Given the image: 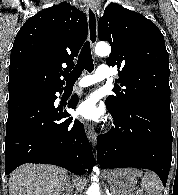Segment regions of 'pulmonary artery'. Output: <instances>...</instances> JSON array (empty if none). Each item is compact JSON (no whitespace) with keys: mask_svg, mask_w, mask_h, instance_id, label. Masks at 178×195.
<instances>
[{"mask_svg":"<svg viewBox=\"0 0 178 195\" xmlns=\"http://www.w3.org/2000/svg\"><path fill=\"white\" fill-rule=\"evenodd\" d=\"M110 68L106 65H101L97 68L95 74L83 77L76 85L75 88L82 89L87 88L97 81L109 80Z\"/></svg>","mask_w":178,"mask_h":195,"instance_id":"e3ab8cb5","label":"pulmonary artery"}]
</instances>
